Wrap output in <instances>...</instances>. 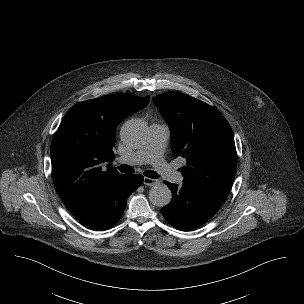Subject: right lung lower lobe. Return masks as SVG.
<instances>
[{"label": "right lung lower lobe", "mask_w": 304, "mask_h": 304, "mask_svg": "<svg viewBox=\"0 0 304 304\" xmlns=\"http://www.w3.org/2000/svg\"><path fill=\"white\" fill-rule=\"evenodd\" d=\"M143 176L118 175L109 180L94 201L77 218L87 226L105 230L113 227L124 213L127 198L143 183Z\"/></svg>", "instance_id": "obj_1"}]
</instances>
